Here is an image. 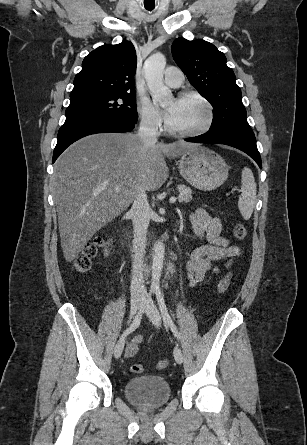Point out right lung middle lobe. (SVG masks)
Masks as SVG:
<instances>
[{"mask_svg": "<svg viewBox=\"0 0 307 445\" xmlns=\"http://www.w3.org/2000/svg\"><path fill=\"white\" fill-rule=\"evenodd\" d=\"M66 117L83 114H104L137 121L135 93L85 95L70 97Z\"/></svg>", "mask_w": 307, "mask_h": 445, "instance_id": "1", "label": "right lung middle lobe"}]
</instances>
